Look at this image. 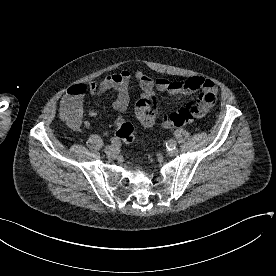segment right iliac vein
Here are the masks:
<instances>
[{"mask_svg": "<svg viewBox=\"0 0 276 276\" xmlns=\"http://www.w3.org/2000/svg\"><path fill=\"white\" fill-rule=\"evenodd\" d=\"M118 150V146H106L105 147V152L107 154H113Z\"/></svg>", "mask_w": 276, "mask_h": 276, "instance_id": "right-iliac-vein-1", "label": "right iliac vein"}]
</instances>
